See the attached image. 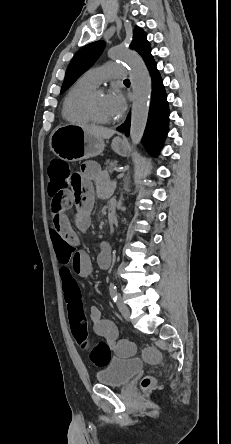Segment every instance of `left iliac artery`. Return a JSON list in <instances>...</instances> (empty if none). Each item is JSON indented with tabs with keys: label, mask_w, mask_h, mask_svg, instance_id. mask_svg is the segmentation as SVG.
<instances>
[{
	"label": "left iliac artery",
	"mask_w": 231,
	"mask_h": 444,
	"mask_svg": "<svg viewBox=\"0 0 231 444\" xmlns=\"http://www.w3.org/2000/svg\"><path fill=\"white\" fill-rule=\"evenodd\" d=\"M109 291H110V295H111L113 301L116 302V300H117V288H116V285L113 282H111L110 285H109Z\"/></svg>",
	"instance_id": "1"
}]
</instances>
